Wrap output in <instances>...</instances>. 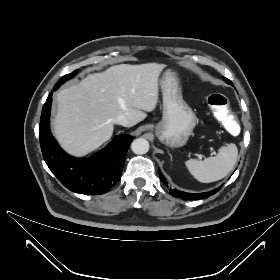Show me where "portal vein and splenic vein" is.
<instances>
[{
	"label": "portal vein and splenic vein",
	"mask_w": 280,
	"mask_h": 280,
	"mask_svg": "<svg viewBox=\"0 0 280 280\" xmlns=\"http://www.w3.org/2000/svg\"><path fill=\"white\" fill-rule=\"evenodd\" d=\"M197 156L199 157V159H202V156H201V155L198 154Z\"/></svg>",
	"instance_id": "1"
}]
</instances>
